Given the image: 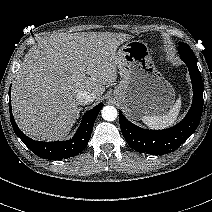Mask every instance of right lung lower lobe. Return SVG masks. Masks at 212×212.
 Listing matches in <instances>:
<instances>
[{"instance_id":"right-lung-lower-lobe-1","label":"right lung lower lobe","mask_w":212,"mask_h":212,"mask_svg":"<svg viewBox=\"0 0 212 212\" xmlns=\"http://www.w3.org/2000/svg\"><path fill=\"white\" fill-rule=\"evenodd\" d=\"M9 90V95H10ZM103 104H98L93 109L87 111L82 118L80 127L78 128L75 136L67 141L58 142H41L35 141L26 136L17 126L11 109V103L9 101L10 118L13 129L16 135L24 142V144L37 156L49 159V160H60L73 157L82 152L87 146L88 141L91 137L93 125L97 115L99 114Z\"/></svg>"}]
</instances>
